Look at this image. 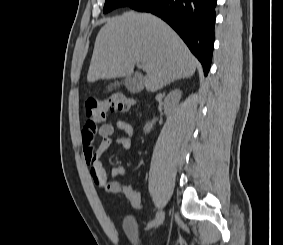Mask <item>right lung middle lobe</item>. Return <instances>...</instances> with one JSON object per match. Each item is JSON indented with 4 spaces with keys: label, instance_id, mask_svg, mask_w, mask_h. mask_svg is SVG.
I'll return each instance as SVG.
<instances>
[{
    "label": "right lung middle lobe",
    "instance_id": "1",
    "mask_svg": "<svg viewBox=\"0 0 283 245\" xmlns=\"http://www.w3.org/2000/svg\"><path fill=\"white\" fill-rule=\"evenodd\" d=\"M139 1L141 0H106L103 12L107 13L115 8L123 7V6L131 7L136 3H138Z\"/></svg>",
    "mask_w": 283,
    "mask_h": 245
}]
</instances>
